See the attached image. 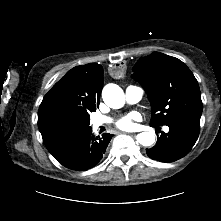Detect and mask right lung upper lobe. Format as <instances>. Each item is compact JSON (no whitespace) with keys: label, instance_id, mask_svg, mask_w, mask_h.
Returning <instances> with one entry per match:
<instances>
[{"label":"right lung upper lobe","instance_id":"right-lung-upper-lobe-1","mask_svg":"<svg viewBox=\"0 0 221 221\" xmlns=\"http://www.w3.org/2000/svg\"><path fill=\"white\" fill-rule=\"evenodd\" d=\"M103 87V68L96 63L76 66L45 95L38 110V127L52 154L69 144L58 140L55 124L83 123L96 111Z\"/></svg>","mask_w":221,"mask_h":221}]
</instances>
